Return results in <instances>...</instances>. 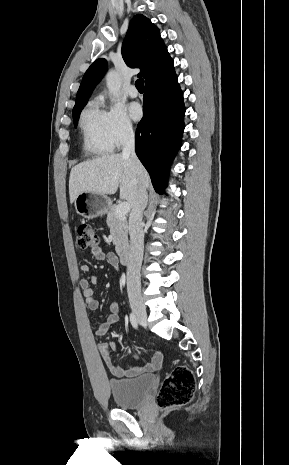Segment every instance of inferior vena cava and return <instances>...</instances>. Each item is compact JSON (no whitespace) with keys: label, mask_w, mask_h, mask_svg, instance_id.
<instances>
[{"label":"inferior vena cava","mask_w":289,"mask_h":465,"mask_svg":"<svg viewBox=\"0 0 289 465\" xmlns=\"http://www.w3.org/2000/svg\"><path fill=\"white\" fill-rule=\"evenodd\" d=\"M122 157L140 164L135 154V136L131 127L125 129L122 141ZM148 195L146 187L139 184L138 197L129 217L130 251L127 265V292L130 302L138 300L141 294L140 268L143 259L144 234L142 230L143 211Z\"/></svg>","instance_id":"1"}]
</instances>
